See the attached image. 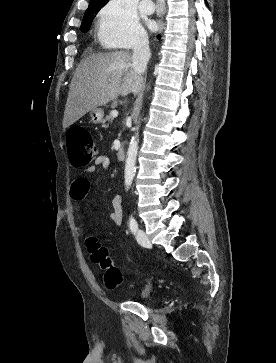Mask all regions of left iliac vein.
Returning <instances> with one entry per match:
<instances>
[{
	"instance_id": "4c4485c4",
	"label": "left iliac vein",
	"mask_w": 276,
	"mask_h": 363,
	"mask_svg": "<svg viewBox=\"0 0 276 363\" xmlns=\"http://www.w3.org/2000/svg\"><path fill=\"white\" fill-rule=\"evenodd\" d=\"M136 240L143 247L151 248V246H152L149 238L147 237L145 232L141 229H139L136 233Z\"/></svg>"
}]
</instances>
